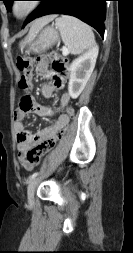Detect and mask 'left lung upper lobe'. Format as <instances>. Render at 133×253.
<instances>
[{"mask_svg": "<svg viewBox=\"0 0 133 253\" xmlns=\"http://www.w3.org/2000/svg\"><path fill=\"white\" fill-rule=\"evenodd\" d=\"M0 1H3L4 4H5V6H6V8L10 9L11 6H12L13 1H15V0H0Z\"/></svg>", "mask_w": 133, "mask_h": 253, "instance_id": "obj_1", "label": "left lung upper lobe"}]
</instances>
